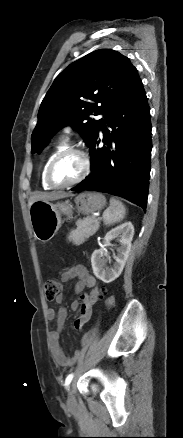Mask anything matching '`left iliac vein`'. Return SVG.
I'll list each match as a JSON object with an SVG mask.
<instances>
[{
  "label": "left iliac vein",
  "mask_w": 183,
  "mask_h": 438,
  "mask_svg": "<svg viewBox=\"0 0 183 438\" xmlns=\"http://www.w3.org/2000/svg\"><path fill=\"white\" fill-rule=\"evenodd\" d=\"M76 405V399L74 396L73 386L68 388L67 406L68 408H73Z\"/></svg>",
  "instance_id": "1"
}]
</instances>
